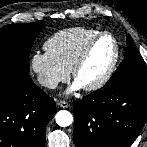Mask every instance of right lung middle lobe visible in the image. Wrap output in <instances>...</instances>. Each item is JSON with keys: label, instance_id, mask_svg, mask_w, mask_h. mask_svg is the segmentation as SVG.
<instances>
[{"label": "right lung middle lobe", "instance_id": "obj_1", "mask_svg": "<svg viewBox=\"0 0 147 147\" xmlns=\"http://www.w3.org/2000/svg\"><path fill=\"white\" fill-rule=\"evenodd\" d=\"M43 22L10 24L0 29V64L29 72V53Z\"/></svg>", "mask_w": 147, "mask_h": 147}]
</instances>
